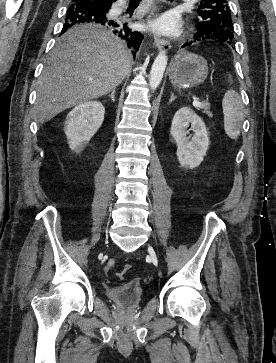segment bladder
Wrapping results in <instances>:
<instances>
[{
	"mask_svg": "<svg viewBox=\"0 0 276 363\" xmlns=\"http://www.w3.org/2000/svg\"><path fill=\"white\" fill-rule=\"evenodd\" d=\"M143 290L134 283L125 284L107 289L108 297L125 307L138 306L142 300Z\"/></svg>",
	"mask_w": 276,
	"mask_h": 363,
	"instance_id": "bladder-1",
	"label": "bladder"
}]
</instances>
